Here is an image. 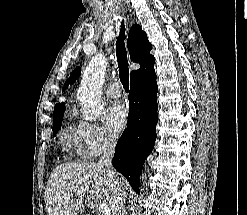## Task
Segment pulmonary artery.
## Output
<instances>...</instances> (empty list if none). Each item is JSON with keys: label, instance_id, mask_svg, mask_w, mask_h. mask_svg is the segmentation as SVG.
Segmentation results:
<instances>
[{"label": "pulmonary artery", "instance_id": "1", "mask_svg": "<svg viewBox=\"0 0 247 215\" xmlns=\"http://www.w3.org/2000/svg\"><path fill=\"white\" fill-rule=\"evenodd\" d=\"M106 94L111 98H118L122 95V90L119 84L112 83L106 88Z\"/></svg>", "mask_w": 247, "mask_h": 215}]
</instances>
